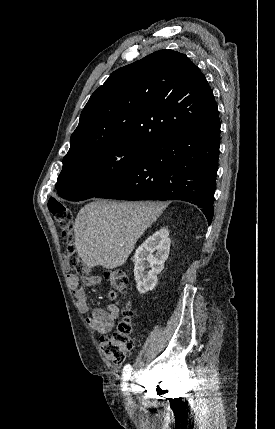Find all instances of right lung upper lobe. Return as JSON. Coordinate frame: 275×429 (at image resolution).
I'll return each instance as SVG.
<instances>
[{"label": "right lung upper lobe", "instance_id": "1", "mask_svg": "<svg viewBox=\"0 0 275 429\" xmlns=\"http://www.w3.org/2000/svg\"><path fill=\"white\" fill-rule=\"evenodd\" d=\"M219 118L200 69L173 50H159L114 71L90 97L63 164L116 144L150 147L184 128Z\"/></svg>", "mask_w": 275, "mask_h": 429}]
</instances>
